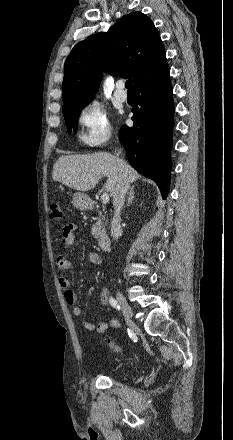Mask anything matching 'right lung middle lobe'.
<instances>
[{"mask_svg": "<svg viewBox=\"0 0 233 440\" xmlns=\"http://www.w3.org/2000/svg\"><path fill=\"white\" fill-rule=\"evenodd\" d=\"M89 102L90 101H87L63 108V115L69 132L72 129L76 132L80 112Z\"/></svg>", "mask_w": 233, "mask_h": 440, "instance_id": "dd1d6c3e", "label": "right lung middle lobe"}]
</instances>
